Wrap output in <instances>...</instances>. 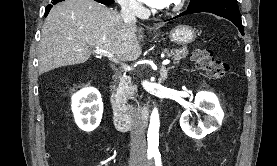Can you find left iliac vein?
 <instances>
[{"label":"left iliac vein","instance_id":"left-iliac-vein-1","mask_svg":"<svg viewBox=\"0 0 277 166\" xmlns=\"http://www.w3.org/2000/svg\"><path fill=\"white\" fill-rule=\"evenodd\" d=\"M143 166H153V164H152V163H149V164H145V165H143Z\"/></svg>","mask_w":277,"mask_h":166}]
</instances>
